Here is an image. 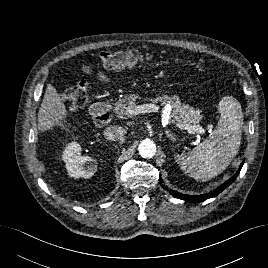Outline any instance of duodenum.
<instances>
[{
  "mask_svg": "<svg viewBox=\"0 0 268 268\" xmlns=\"http://www.w3.org/2000/svg\"><path fill=\"white\" fill-rule=\"evenodd\" d=\"M92 113L96 119L103 123L107 124L111 120L112 108L111 105L107 102H97L92 105Z\"/></svg>",
  "mask_w": 268,
  "mask_h": 268,
  "instance_id": "1",
  "label": "duodenum"
}]
</instances>
